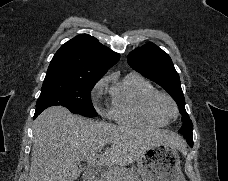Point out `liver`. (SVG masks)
Returning <instances> with one entry per match:
<instances>
[{
	"instance_id": "1",
	"label": "liver",
	"mask_w": 228,
	"mask_h": 181,
	"mask_svg": "<svg viewBox=\"0 0 228 181\" xmlns=\"http://www.w3.org/2000/svg\"><path fill=\"white\" fill-rule=\"evenodd\" d=\"M157 143L179 151L186 147L176 133L85 121L65 107H49L34 121L28 181H77L81 175L77 165L90 157H97L99 165L126 167ZM104 147L105 153L98 155Z\"/></svg>"
}]
</instances>
